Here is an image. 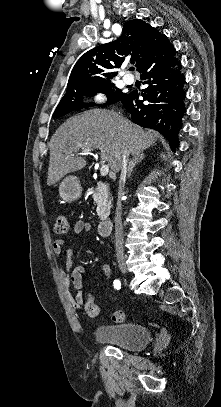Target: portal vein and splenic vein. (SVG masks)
<instances>
[{
  "mask_svg": "<svg viewBox=\"0 0 221 407\" xmlns=\"http://www.w3.org/2000/svg\"><path fill=\"white\" fill-rule=\"evenodd\" d=\"M91 151H92V149H90V148H85V149L81 150L82 154H89ZM108 173H109V165L103 164L100 168L101 176L105 177L108 175Z\"/></svg>",
  "mask_w": 221,
  "mask_h": 407,
  "instance_id": "18ae733b",
  "label": "portal vein and splenic vein"
}]
</instances>
